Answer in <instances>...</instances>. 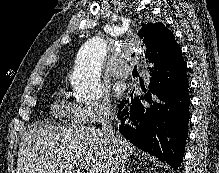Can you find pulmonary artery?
<instances>
[{
	"label": "pulmonary artery",
	"mask_w": 219,
	"mask_h": 173,
	"mask_svg": "<svg viewBox=\"0 0 219 173\" xmlns=\"http://www.w3.org/2000/svg\"><path fill=\"white\" fill-rule=\"evenodd\" d=\"M130 69L122 68L120 65H115L110 70V75L114 78H125L129 75Z\"/></svg>",
	"instance_id": "obj_1"
}]
</instances>
